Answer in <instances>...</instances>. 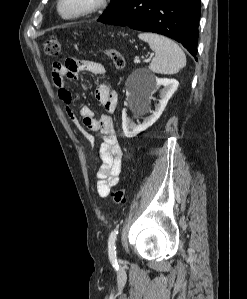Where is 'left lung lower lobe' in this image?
<instances>
[{
  "instance_id": "left-lung-lower-lobe-1",
  "label": "left lung lower lobe",
  "mask_w": 247,
  "mask_h": 299,
  "mask_svg": "<svg viewBox=\"0 0 247 299\" xmlns=\"http://www.w3.org/2000/svg\"><path fill=\"white\" fill-rule=\"evenodd\" d=\"M199 19L200 0H127L114 14L99 21L163 34L196 57Z\"/></svg>"
}]
</instances>
